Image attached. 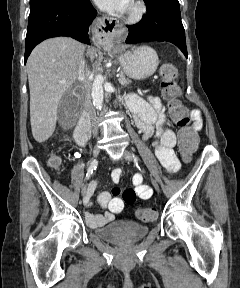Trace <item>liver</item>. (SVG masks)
Masks as SVG:
<instances>
[{"instance_id":"liver-1","label":"liver","mask_w":240,"mask_h":288,"mask_svg":"<svg viewBox=\"0 0 240 288\" xmlns=\"http://www.w3.org/2000/svg\"><path fill=\"white\" fill-rule=\"evenodd\" d=\"M84 52L82 43L55 37L37 45L29 56L30 122L37 142H45L54 133L59 101L78 78ZM87 52L91 60L97 56L95 48Z\"/></svg>"}]
</instances>
